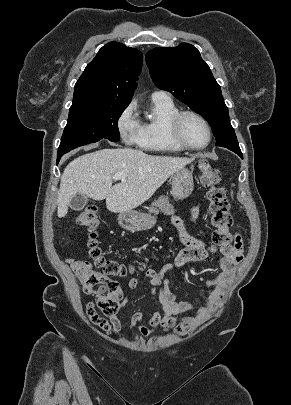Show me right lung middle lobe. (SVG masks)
Masks as SVG:
<instances>
[{
	"mask_svg": "<svg viewBox=\"0 0 291 405\" xmlns=\"http://www.w3.org/2000/svg\"><path fill=\"white\" fill-rule=\"evenodd\" d=\"M128 105L112 102L72 105L58 148L57 162L67 152L101 139L120 140L118 119Z\"/></svg>",
	"mask_w": 291,
	"mask_h": 405,
	"instance_id": "1",
	"label": "right lung middle lobe"
}]
</instances>
